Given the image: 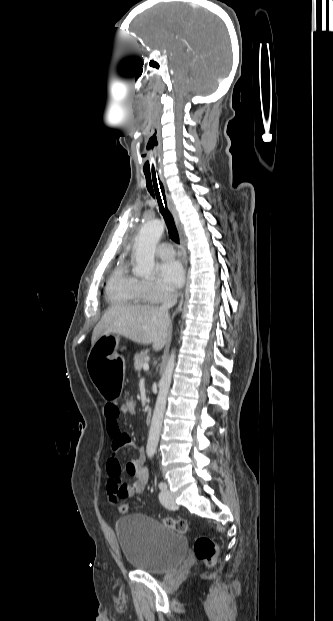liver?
<instances>
[{"label": "liver", "instance_id": "1", "mask_svg": "<svg viewBox=\"0 0 333 621\" xmlns=\"http://www.w3.org/2000/svg\"><path fill=\"white\" fill-rule=\"evenodd\" d=\"M171 326L169 316L149 305L114 306L107 310L93 330L92 345L100 336L122 335L138 344H152L154 351L164 348Z\"/></svg>", "mask_w": 333, "mask_h": 621}]
</instances>
